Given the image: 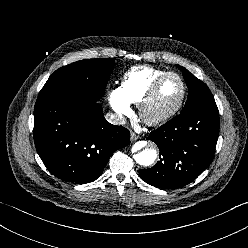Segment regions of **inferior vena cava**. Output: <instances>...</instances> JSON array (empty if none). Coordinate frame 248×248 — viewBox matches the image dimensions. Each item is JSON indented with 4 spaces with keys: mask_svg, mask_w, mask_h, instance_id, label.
Segmentation results:
<instances>
[{
    "mask_svg": "<svg viewBox=\"0 0 248 248\" xmlns=\"http://www.w3.org/2000/svg\"><path fill=\"white\" fill-rule=\"evenodd\" d=\"M105 118L113 125H123L126 123V119L121 114L109 112L105 115Z\"/></svg>",
    "mask_w": 248,
    "mask_h": 248,
    "instance_id": "602c4592",
    "label": "inferior vena cava"
}]
</instances>
